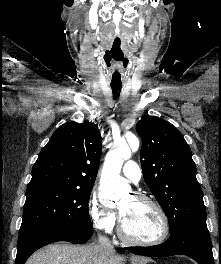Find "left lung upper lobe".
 Returning <instances> with one entry per match:
<instances>
[{
  "label": "left lung upper lobe",
  "instance_id": "left-lung-upper-lobe-1",
  "mask_svg": "<svg viewBox=\"0 0 221 264\" xmlns=\"http://www.w3.org/2000/svg\"><path fill=\"white\" fill-rule=\"evenodd\" d=\"M143 140L144 180L168 217L170 231L206 226L202 189L189 145L169 122L155 116L136 125Z\"/></svg>",
  "mask_w": 221,
  "mask_h": 264
}]
</instances>
